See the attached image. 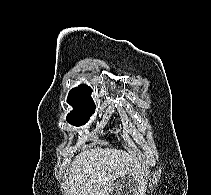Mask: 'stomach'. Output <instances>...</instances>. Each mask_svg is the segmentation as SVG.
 <instances>
[{
	"label": "stomach",
	"mask_w": 211,
	"mask_h": 195,
	"mask_svg": "<svg viewBox=\"0 0 211 195\" xmlns=\"http://www.w3.org/2000/svg\"><path fill=\"white\" fill-rule=\"evenodd\" d=\"M122 185H134L136 186V183H134L132 181V179L130 177H123V178H119L116 182H115V188L118 190L122 187ZM119 195H128L126 191H118Z\"/></svg>",
	"instance_id": "0dacf381"
}]
</instances>
